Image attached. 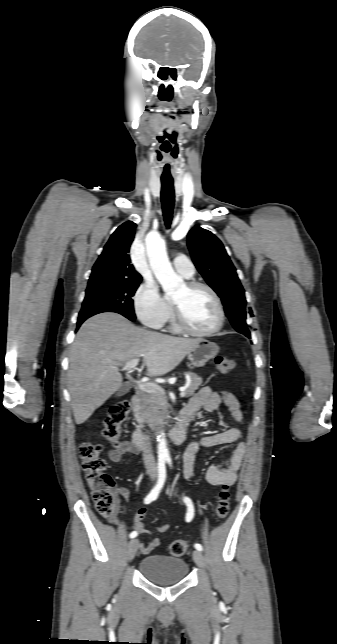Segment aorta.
<instances>
[{
	"mask_svg": "<svg viewBox=\"0 0 337 644\" xmlns=\"http://www.w3.org/2000/svg\"><path fill=\"white\" fill-rule=\"evenodd\" d=\"M146 250L151 269L167 295H173L184 286L182 277L178 276L169 261L165 242L158 233L151 232L146 237ZM158 456L168 459L169 451L164 433L158 436Z\"/></svg>",
	"mask_w": 337,
	"mask_h": 644,
	"instance_id": "aorta-1",
	"label": "aorta"
}]
</instances>
